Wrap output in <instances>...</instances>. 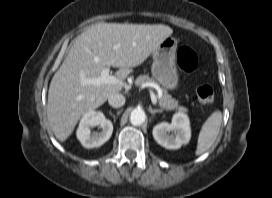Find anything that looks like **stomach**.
<instances>
[{"label":"stomach","instance_id":"stomach-1","mask_svg":"<svg viewBox=\"0 0 272 198\" xmlns=\"http://www.w3.org/2000/svg\"><path fill=\"white\" fill-rule=\"evenodd\" d=\"M176 50L177 40L168 37L152 52V76L166 89H174L178 84Z\"/></svg>","mask_w":272,"mask_h":198}]
</instances>
